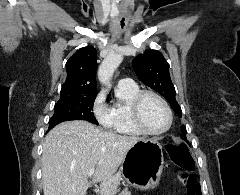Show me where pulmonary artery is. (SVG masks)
Wrapping results in <instances>:
<instances>
[{
    "instance_id": "obj_1",
    "label": "pulmonary artery",
    "mask_w": 240,
    "mask_h": 195,
    "mask_svg": "<svg viewBox=\"0 0 240 195\" xmlns=\"http://www.w3.org/2000/svg\"><path fill=\"white\" fill-rule=\"evenodd\" d=\"M121 83H132V78H121Z\"/></svg>"
}]
</instances>
